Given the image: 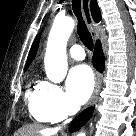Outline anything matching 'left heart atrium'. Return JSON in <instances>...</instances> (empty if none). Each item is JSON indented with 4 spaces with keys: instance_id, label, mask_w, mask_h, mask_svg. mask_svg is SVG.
I'll list each match as a JSON object with an SVG mask.
<instances>
[{
    "instance_id": "obj_1",
    "label": "left heart atrium",
    "mask_w": 136,
    "mask_h": 136,
    "mask_svg": "<svg viewBox=\"0 0 136 136\" xmlns=\"http://www.w3.org/2000/svg\"><path fill=\"white\" fill-rule=\"evenodd\" d=\"M94 88L93 72L87 65L73 67L67 78V91L74 104H83L90 97Z\"/></svg>"
}]
</instances>
